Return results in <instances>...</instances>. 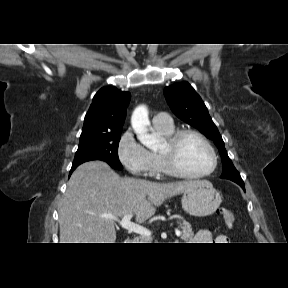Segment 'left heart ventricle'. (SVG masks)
Here are the masks:
<instances>
[{
  "label": "left heart ventricle",
  "instance_id": "left-heart-ventricle-1",
  "mask_svg": "<svg viewBox=\"0 0 288 288\" xmlns=\"http://www.w3.org/2000/svg\"><path fill=\"white\" fill-rule=\"evenodd\" d=\"M164 150L165 144L160 152ZM178 161L185 171L192 174L207 172L213 165V158L208 148L193 136L184 138L180 143Z\"/></svg>",
  "mask_w": 288,
  "mask_h": 288
}]
</instances>
